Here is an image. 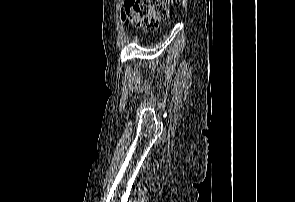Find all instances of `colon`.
I'll return each instance as SVG.
<instances>
[{
    "instance_id": "obj_1",
    "label": "colon",
    "mask_w": 295,
    "mask_h": 202,
    "mask_svg": "<svg viewBox=\"0 0 295 202\" xmlns=\"http://www.w3.org/2000/svg\"><path fill=\"white\" fill-rule=\"evenodd\" d=\"M125 17L134 27L155 31L162 19L168 15V4L172 0H125Z\"/></svg>"
}]
</instances>
